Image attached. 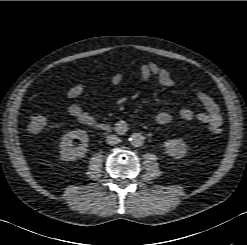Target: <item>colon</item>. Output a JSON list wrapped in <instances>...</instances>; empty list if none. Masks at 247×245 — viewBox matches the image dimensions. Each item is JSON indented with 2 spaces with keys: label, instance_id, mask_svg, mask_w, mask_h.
<instances>
[{
  "label": "colon",
  "instance_id": "5ec220e1",
  "mask_svg": "<svg viewBox=\"0 0 247 245\" xmlns=\"http://www.w3.org/2000/svg\"><path fill=\"white\" fill-rule=\"evenodd\" d=\"M46 122H47V119L45 115L40 114V113H33L29 117L28 130L31 133H38L45 127ZM210 131L213 134L221 133V129L219 127H216V128L210 127Z\"/></svg>",
  "mask_w": 247,
  "mask_h": 245
}]
</instances>
